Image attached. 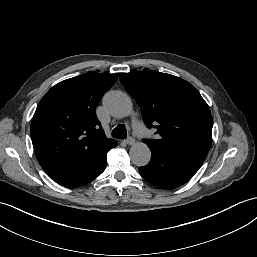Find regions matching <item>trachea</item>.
Returning <instances> with one entry per match:
<instances>
[{"label": "trachea", "mask_w": 257, "mask_h": 257, "mask_svg": "<svg viewBox=\"0 0 257 257\" xmlns=\"http://www.w3.org/2000/svg\"><path fill=\"white\" fill-rule=\"evenodd\" d=\"M112 136L117 139H125L127 137L125 125H117L112 131Z\"/></svg>", "instance_id": "trachea-1"}]
</instances>
